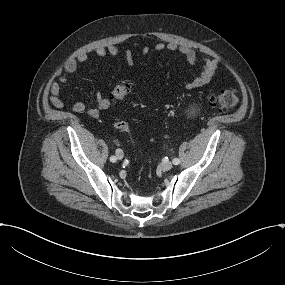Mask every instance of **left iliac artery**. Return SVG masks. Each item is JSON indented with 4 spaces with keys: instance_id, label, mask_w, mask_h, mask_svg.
<instances>
[{
    "instance_id": "obj_1",
    "label": "left iliac artery",
    "mask_w": 285,
    "mask_h": 285,
    "mask_svg": "<svg viewBox=\"0 0 285 285\" xmlns=\"http://www.w3.org/2000/svg\"><path fill=\"white\" fill-rule=\"evenodd\" d=\"M172 162L174 165H178L180 163V160L178 158H174Z\"/></svg>"
}]
</instances>
